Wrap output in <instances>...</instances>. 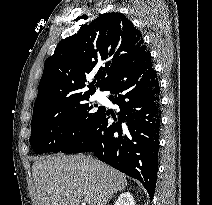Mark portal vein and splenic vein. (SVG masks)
<instances>
[{
	"instance_id": "18ae733b",
	"label": "portal vein and splenic vein",
	"mask_w": 212,
	"mask_h": 205,
	"mask_svg": "<svg viewBox=\"0 0 212 205\" xmlns=\"http://www.w3.org/2000/svg\"><path fill=\"white\" fill-rule=\"evenodd\" d=\"M89 203V198H84V205Z\"/></svg>"
}]
</instances>
